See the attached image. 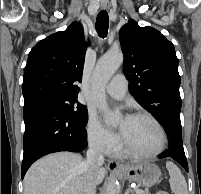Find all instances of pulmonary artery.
<instances>
[{"label": "pulmonary artery", "instance_id": "e3ab8cb5", "mask_svg": "<svg viewBox=\"0 0 201 194\" xmlns=\"http://www.w3.org/2000/svg\"><path fill=\"white\" fill-rule=\"evenodd\" d=\"M106 93L115 99H122L127 92V80L124 75H116L106 86Z\"/></svg>", "mask_w": 201, "mask_h": 194}]
</instances>
